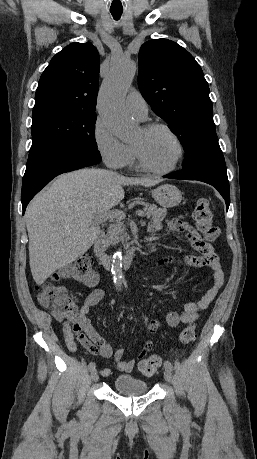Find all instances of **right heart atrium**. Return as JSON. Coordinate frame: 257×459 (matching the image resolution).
Wrapping results in <instances>:
<instances>
[{"mask_svg": "<svg viewBox=\"0 0 257 459\" xmlns=\"http://www.w3.org/2000/svg\"><path fill=\"white\" fill-rule=\"evenodd\" d=\"M93 139L96 150L109 167L121 169L128 164L131 158L130 146L118 139L101 119L95 122Z\"/></svg>", "mask_w": 257, "mask_h": 459, "instance_id": "1", "label": "right heart atrium"}]
</instances>
